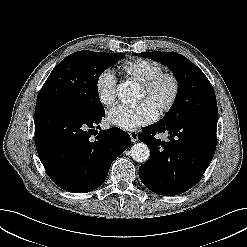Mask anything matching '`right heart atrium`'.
Here are the masks:
<instances>
[{
  "label": "right heart atrium",
  "instance_id": "obj_1",
  "mask_svg": "<svg viewBox=\"0 0 247 247\" xmlns=\"http://www.w3.org/2000/svg\"><path fill=\"white\" fill-rule=\"evenodd\" d=\"M95 92L103 106H110L116 97V79L110 70H104L95 80Z\"/></svg>",
  "mask_w": 247,
  "mask_h": 247
}]
</instances>
